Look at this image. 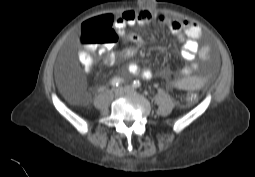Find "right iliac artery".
Returning <instances> with one entry per match:
<instances>
[{
  "instance_id": "obj_1",
  "label": "right iliac artery",
  "mask_w": 255,
  "mask_h": 177,
  "mask_svg": "<svg viewBox=\"0 0 255 177\" xmlns=\"http://www.w3.org/2000/svg\"><path fill=\"white\" fill-rule=\"evenodd\" d=\"M123 82V79H121V78H114L112 81H111V85L113 86V87H115V86H118L119 84H121Z\"/></svg>"
}]
</instances>
